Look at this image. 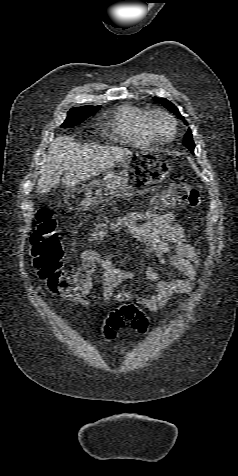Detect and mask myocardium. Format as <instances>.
<instances>
[{"label": "myocardium", "mask_w": 238, "mask_h": 476, "mask_svg": "<svg viewBox=\"0 0 238 476\" xmlns=\"http://www.w3.org/2000/svg\"><path fill=\"white\" fill-rule=\"evenodd\" d=\"M157 117H164L171 122L172 133L169 137L161 138L157 134L154 127V121ZM144 125H145L146 132L148 133L150 138L154 141V143H168L175 138L178 131V124L174 116L170 114L168 111L161 108H155L148 111L144 120Z\"/></svg>", "instance_id": "f54148a6"}]
</instances>
